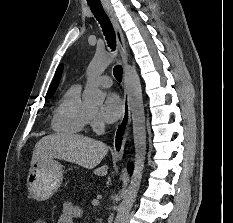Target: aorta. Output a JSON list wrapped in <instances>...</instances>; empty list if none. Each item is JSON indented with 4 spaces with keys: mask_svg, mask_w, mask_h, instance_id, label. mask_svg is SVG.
Masks as SVG:
<instances>
[{
    "mask_svg": "<svg viewBox=\"0 0 233 223\" xmlns=\"http://www.w3.org/2000/svg\"><path fill=\"white\" fill-rule=\"evenodd\" d=\"M112 62L113 58H109V56H106V58H94V60L90 62L86 70L87 82L83 92V102H85V104H92V106H101V104H103L106 94L100 90L98 78ZM124 74L129 84L135 145L134 169L129 187H127L122 201L123 211H127L128 207L135 201L143 175L146 155V127L139 76H137V72L132 66H124Z\"/></svg>",
    "mask_w": 233,
    "mask_h": 223,
    "instance_id": "1",
    "label": "aorta"
}]
</instances>
